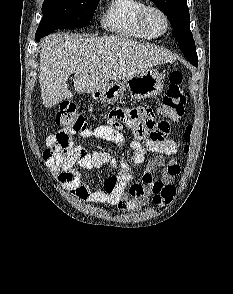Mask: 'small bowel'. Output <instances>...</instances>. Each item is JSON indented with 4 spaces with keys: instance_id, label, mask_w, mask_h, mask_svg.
I'll return each instance as SVG.
<instances>
[{
    "instance_id": "1",
    "label": "small bowel",
    "mask_w": 233,
    "mask_h": 294,
    "mask_svg": "<svg viewBox=\"0 0 233 294\" xmlns=\"http://www.w3.org/2000/svg\"><path fill=\"white\" fill-rule=\"evenodd\" d=\"M157 115L159 110L153 108L152 104H139L138 108H115L109 112L106 124L80 132L84 138L95 137L125 146L126 140L120 129L128 126L130 129H126V134L134 137V141L129 144L133 152L112 156L103 149L75 146L54 156L50 151L55 143V135H51L46 141L45 161L58 181L81 200L106 204L121 211H137L146 206L162 188L173 186L180 173L177 161L165 159L163 156L175 154L178 150L176 142L167 138L171 128L170 120H154ZM138 141H146V144ZM155 153L159 155L148 162L142 182L132 183L131 166L143 164L146 154ZM103 165L120 169L117 174L105 180L102 188L91 190L82 182L77 167L97 169ZM155 168H162L159 179L152 176V170Z\"/></svg>"
}]
</instances>
